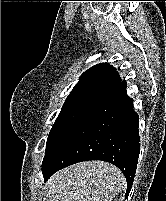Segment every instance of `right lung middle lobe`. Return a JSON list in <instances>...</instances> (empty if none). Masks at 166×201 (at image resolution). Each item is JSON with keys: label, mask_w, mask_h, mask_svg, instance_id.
Segmentation results:
<instances>
[{"label": "right lung middle lobe", "mask_w": 166, "mask_h": 201, "mask_svg": "<svg viewBox=\"0 0 166 201\" xmlns=\"http://www.w3.org/2000/svg\"><path fill=\"white\" fill-rule=\"evenodd\" d=\"M106 97H85L65 101L47 139L42 168L50 161L58 148L102 104Z\"/></svg>", "instance_id": "right-lung-middle-lobe-1"}]
</instances>
